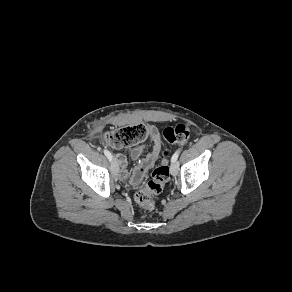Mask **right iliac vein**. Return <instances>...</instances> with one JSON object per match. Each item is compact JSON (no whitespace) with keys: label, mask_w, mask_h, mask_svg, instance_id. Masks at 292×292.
I'll list each match as a JSON object with an SVG mask.
<instances>
[{"label":"right iliac vein","mask_w":292,"mask_h":292,"mask_svg":"<svg viewBox=\"0 0 292 292\" xmlns=\"http://www.w3.org/2000/svg\"><path fill=\"white\" fill-rule=\"evenodd\" d=\"M111 170H112V173H113L114 175H117L118 172H119L118 163H117V161H116L115 159L112 160V163H111Z\"/></svg>","instance_id":"obj_1"}]
</instances>
